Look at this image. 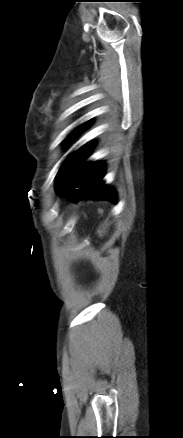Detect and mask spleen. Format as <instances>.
<instances>
[{
	"label": "spleen",
	"mask_w": 183,
	"mask_h": 438,
	"mask_svg": "<svg viewBox=\"0 0 183 438\" xmlns=\"http://www.w3.org/2000/svg\"><path fill=\"white\" fill-rule=\"evenodd\" d=\"M98 233H99V235L101 236L102 231H101V230H98Z\"/></svg>",
	"instance_id": "3e777b00"
}]
</instances>
